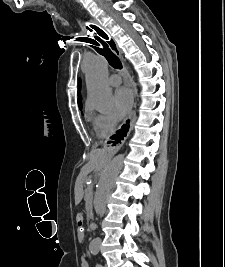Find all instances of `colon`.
<instances>
[{
    "instance_id": "5ec220e1",
    "label": "colon",
    "mask_w": 225,
    "mask_h": 267,
    "mask_svg": "<svg viewBox=\"0 0 225 267\" xmlns=\"http://www.w3.org/2000/svg\"><path fill=\"white\" fill-rule=\"evenodd\" d=\"M75 218H76L77 224L79 226H81L82 223H83V216H82V214L80 212H77Z\"/></svg>"
}]
</instances>
